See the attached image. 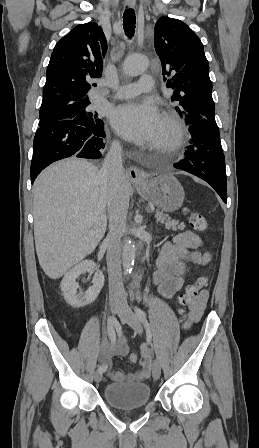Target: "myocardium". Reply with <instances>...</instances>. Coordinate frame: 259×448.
Listing matches in <instances>:
<instances>
[{"mask_svg":"<svg viewBox=\"0 0 259 448\" xmlns=\"http://www.w3.org/2000/svg\"><path fill=\"white\" fill-rule=\"evenodd\" d=\"M161 120L169 130V137L159 149L175 152L179 148L183 137L182 121L179 115L172 109H168Z\"/></svg>","mask_w":259,"mask_h":448,"instance_id":"obj_1","label":"myocardium"}]
</instances>
